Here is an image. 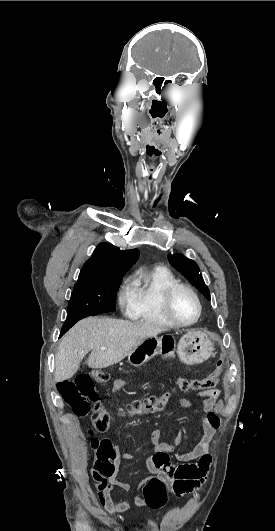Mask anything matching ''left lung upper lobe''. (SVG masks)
Instances as JSON below:
<instances>
[{
  "mask_svg": "<svg viewBox=\"0 0 275 531\" xmlns=\"http://www.w3.org/2000/svg\"><path fill=\"white\" fill-rule=\"evenodd\" d=\"M168 260L170 264L181 274H183L189 280V282L204 295L207 300H210L209 288L205 285L200 274V269L193 260L179 253L173 255L169 254Z\"/></svg>",
  "mask_w": 275,
  "mask_h": 531,
  "instance_id": "5c2ea615",
  "label": "left lung upper lobe"
}]
</instances>
